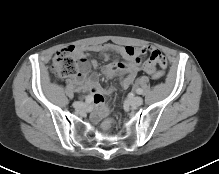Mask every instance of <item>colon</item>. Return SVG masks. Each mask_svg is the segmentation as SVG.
<instances>
[{"label": "colon", "instance_id": "5ec220e1", "mask_svg": "<svg viewBox=\"0 0 219 174\" xmlns=\"http://www.w3.org/2000/svg\"><path fill=\"white\" fill-rule=\"evenodd\" d=\"M78 70V60L73 55V49L68 47L59 50L53 58L52 71L56 77L63 78L75 74ZM153 79L161 81L164 78L163 71H157L153 74ZM111 120L104 121L102 128L109 130L112 127Z\"/></svg>", "mask_w": 219, "mask_h": 174}]
</instances>
